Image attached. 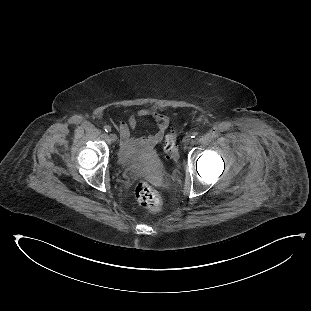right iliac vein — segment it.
I'll list each match as a JSON object with an SVG mask.
<instances>
[{
    "label": "right iliac vein",
    "mask_w": 311,
    "mask_h": 311,
    "mask_svg": "<svg viewBox=\"0 0 311 311\" xmlns=\"http://www.w3.org/2000/svg\"><path fill=\"white\" fill-rule=\"evenodd\" d=\"M109 138H110L111 142H116V140H117V136L114 133H110Z\"/></svg>",
    "instance_id": "right-iliac-vein-1"
}]
</instances>
